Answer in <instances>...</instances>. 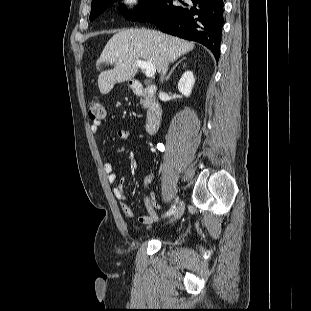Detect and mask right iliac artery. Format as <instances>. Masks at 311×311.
Returning a JSON list of instances; mask_svg holds the SVG:
<instances>
[{"mask_svg": "<svg viewBox=\"0 0 311 311\" xmlns=\"http://www.w3.org/2000/svg\"><path fill=\"white\" fill-rule=\"evenodd\" d=\"M157 148H158V146H157ZM158 149H160V148H158ZM163 149H164V146H163ZM160 150H161V149H160ZM175 210H176V206H175V205H172L171 208L169 209V211H167V212L164 214V217L170 216V215L174 214Z\"/></svg>", "mask_w": 311, "mask_h": 311, "instance_id": "82829eb1", "label": "right iliac artery"}]
</instances>
